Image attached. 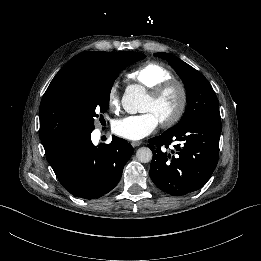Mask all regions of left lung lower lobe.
Wrapping results in <instances>:
<instances>
[{"mask_svg": "<svg viewBox=\"0 0 261 261\" xmlns=\"http://www.w3.org/2000/svg\"><path fill=\"white\" fill-rule=\"evenodd\" d=\"M220 121L197 120L177 132L165 131L149 140L153 159L150 177L155 185L171 195L199 190L211 177L219 156ZM177 141L169 154L161 149Z\"/></svg>", "mask_w": 261, "mask_h": 261, "instance_id": "left-lung-lower-lobe-1", "label": "left lung lower lobe"}]
</instances>
